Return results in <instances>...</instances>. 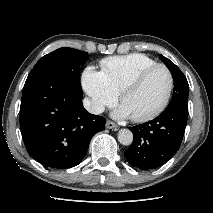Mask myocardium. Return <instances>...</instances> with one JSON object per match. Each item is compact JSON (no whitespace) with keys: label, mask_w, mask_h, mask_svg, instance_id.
Here are the masks:
<instances>
[{"label":"myocardium","mask_w":213,"mask_h":213,"mask_svg":"<svg viewBox=\"0 0 213 213\" xmlns=\"http://www.w3.org/2000/svg\"><path fill=\"white\" fill-rule=\"evenodd\" d=\"M157 69L165 70L168 75L169 83H168V88H167L166 94H165L164 98L162 99V101L151 111L147 112L146 114L140 115V116H130L131 120H133L135 122L148 121V120L154 118L155 116H157L166 107V105L168 104V102L170 100V97H171V94L173 91V87H174V76H173L171 70L163 64H155L150 67L144 68L143 70L138 72L133 78H131L121 88V90L118 94L119 102L122 104V101H123V98L125 97V95L127 93H129L131 90H133L134 88H136L149 73H151L152 71L157 70Z\"/></svg>","instance_id":"obj_1"}]
</instances>
